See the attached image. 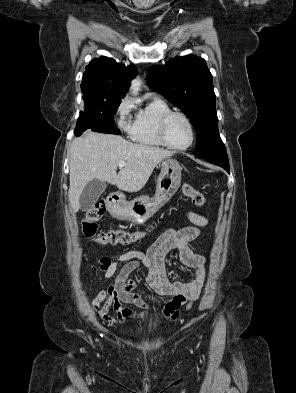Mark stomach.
Here are the masks:
<instances>
[{
  "instance_id": "1",
  "label": "stomach",
  "mask_w": 296,
  "mask_h": 393,
  "mask_svg": "<svg viewBox=\"0 0 296 393\" xmlns=\"http://www.w3.org/2000/svg\"><path fill=\"white\" fill-rule=\"evenodd\" d=\"M182 167L174 159H166L157 179L154 197L141 196L130 202L119 201L113 210L116 218L142 224L152 217L175 194L181 184Z\"/></svg>"
}]
</instances>
